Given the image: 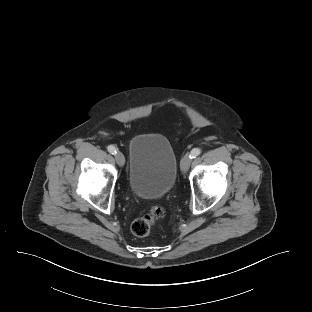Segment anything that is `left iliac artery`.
<instances>
[{"instance_id":"obj_1","label":"left iliac artery","mask_w":312,"mask_h":312,"mask_svg":"<svg viewBox=\"0 0 312 312\" xmlns=\"http://www.w3.org/2000/svg\"><path fill=\"white\" fill-rule=\"evenodd\" d=\"M201 154V149H199V148H194L192 151H191V153H190V158L191 159H194V158H196L198 155H200Z\"/></svg>"}]
</instances>
